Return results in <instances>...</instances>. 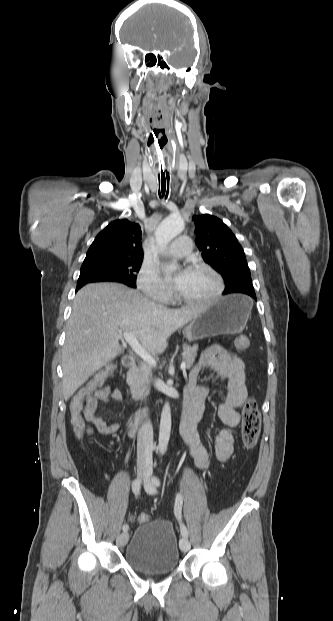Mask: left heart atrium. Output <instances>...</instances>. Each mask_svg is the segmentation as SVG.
<instances>
[{
	"instance_id": "left-heart-atrium-1",
	"label": "left heart atrium",
	"mask_w": 333,
	"mask_h": 621,
	"mask_svg": "<svg viewBox=\"0 0 333 621\" xmlns=\"http://www.w3.org/2000/svg\"><path fill=\"white\" fill-rule=\"evenodd\" d=\"M187 275H188V270H182V271H180V272L176 275V277H175V279H174V286H175L176 288H178V287H179V286H180V285L184 282V280L186 279Z\"/></svg>"
}]
</instances>
